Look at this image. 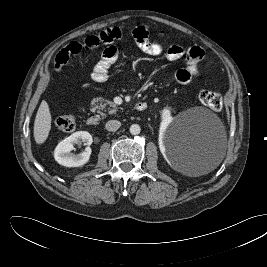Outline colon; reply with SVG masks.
Returning a JSON list of instances; mask_svg holds the SVG:
<instances>
[{
	"mask_svg": "<svg viewBox=\"0 0 267 267\" xmlns=\"http://www.w3.org/2000/svg\"><path fill=\"white\" fill-rule=\"evenodd\" d=\"M199 100L204 106L214 111H218L222 108V96L218 92L203 90L199 94ZM56 125L60 130L70 132L75 129L76 120L72 115H63L57 118Z\"/></svg>",
	"mask_w": 267,
	"mask_h": 267,
	"instance_id": "colon-1",
	"label": "colon"
}]
</instances>
